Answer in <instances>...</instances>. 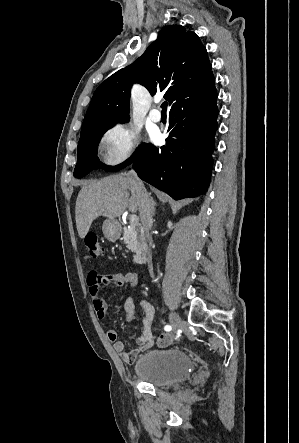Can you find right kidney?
I'll list each match as a JSON object with an SVG mask.
<instances>
[{"mask_svg":"<svg viewBox=\"0 0 299 443\" xmlns=\"http://www.w3.org/2000/svg\"><path fill=\"white\" fill-rule=\"evenodd\" d=\"M168 227L171 228L172 227V223L168 222Z\"/></svg>","mask_w":299,"mask_h":443,"instance_id":"obj_1","label":"right kidney"}]
</instances>
